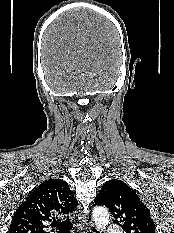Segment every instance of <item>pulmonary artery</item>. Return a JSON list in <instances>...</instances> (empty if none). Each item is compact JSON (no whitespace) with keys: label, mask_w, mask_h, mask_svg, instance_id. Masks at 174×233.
<instances>
[{"label":"pulmonary artery","mask_w":174,"mask_h":233,"mask_svg":"<svg viewBox=\"0 0 174 233\" xmlns=\"http://www.w3.org/2000/svg\"><path fill=\"white\" fill-rule=\"evenodd\" d=\"M108 233H122L116 226H109L107 228Z\"/></svg>","instance_id":"e3ab8cb5"}]
</instances>
